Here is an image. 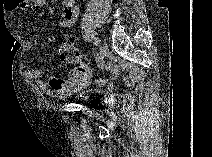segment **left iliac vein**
<instances>
[{"mask_svg": "<svg viewBox=\"0 0 212 157\" xmlns=\"http://www.w3.org/2000/svg\"><path fill=\"white\" fill-rule=\"evenodd\" d=\"M108 55V45L106 43H101L99 61H103Z\"/></svg>", "mask_w": 212, "mask_h": 157, "instance_id": "1", "label": "left iliac vein"}]
</instances>
